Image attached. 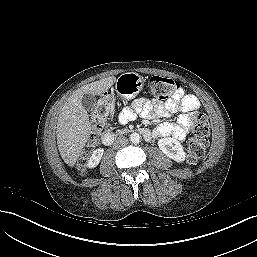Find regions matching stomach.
<instances>
[{
	"instance_id": "1",
	"label": "stomach",
	"mask_w": 257,
	"mask_h": 257,
	"mask_svg": "<svg viewBox=\"0 0 257 257\" xmlns=\"http://www.w3.org/2000/svg\"><path fill=\"white\" fill-rule=\"evenodd\" d=\"M143 86V77L134 72L123 73L116 81L118 95L128 100L135 98L143 89Z\"/></svg>"
}]
</instances>
